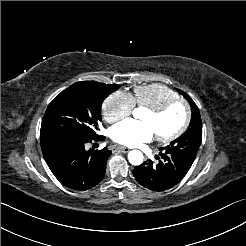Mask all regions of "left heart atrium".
<instances>
[{"instance_id":"39dd6f15","label":"left heart atrium","mask_w":246,"mask_h":246,"mask_svg":"<svg viewBox=\"0 0 246 246\" xmlns=\"http://www.w3.org/2000/svg\"><path fill=\"white\" fill-rule=\"evenodd\" d=\"M154 135V131L147 123L131 119L115 125L111 131L114 142L132 147L150 141Z\"/></svg>"}]
</instances>
